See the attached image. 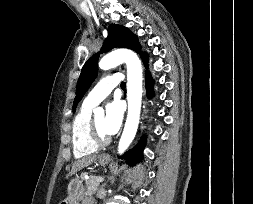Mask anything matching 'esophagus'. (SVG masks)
<instances>
[{"label": "esophagus", "mask_w": 253, "mask_h": 204, "mask_svg": "<svg viewBox=\"0 0 253 204\" xmlns=\"http://www.w3.org/2000/svg\"><path fill=\"white\" fill-rule=\"evenodd\" d=\"M101 157H103V158H108V157H109V155L104 154V155H102Z\"/></svg>", "instance_id": "obj_1"}]
</instances>
